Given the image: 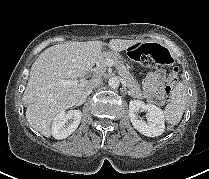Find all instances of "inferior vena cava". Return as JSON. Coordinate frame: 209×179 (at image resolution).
<instances>
[{
	"mask_svg": "<svg viewBox=\"0 0 209 179\" xmlns=\"http://www.w3.org/2000/svg\"><path fill=\"white\" fill-rule=\"evenodd\" d=\"M101 82L102 81L100 79L90 80L82 96V99L85 100L87 96L93 91V89H95Z\"/></svg>",
	"mask_w": 209,
	"mask_h": 179,
	"instance_id": "inferior-vena-cava-1",
	"label": "inferior vena cava"
}]
</instances>
